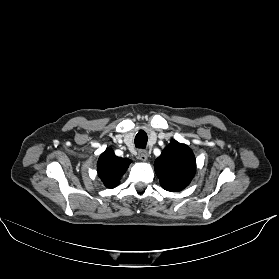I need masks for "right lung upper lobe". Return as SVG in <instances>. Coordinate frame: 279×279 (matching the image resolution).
<instances>
[{
    "label": "right lung upper lobe",
    "instance_id": "cb5924a9",
    "mask_svg": "<svg viewBox=\"0 0 279 279\" xmlns=\"http://www.w3.org/2000/svg\"><path fill=\"white\" fill-rule=\"evenodd\" d=\"M130 162V159L117 157L113 150L107 149L98 160V176L107 188H114L119 184L120 177L124 175Z\"/></svg>",
    "mask_w": 279,
    "mask_h": 279
}]
</instances>
